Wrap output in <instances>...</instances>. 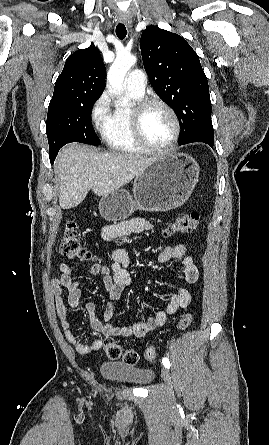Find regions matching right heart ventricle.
<instances>
[{
	"mask_svg": "<svg viewBox=\"0 0 269 445\" xmlns=\"http://www.w3.org/2000/svg\"><path fill=\"white\" fill-rule=\"evenodd\" d=\"M127 95L133 101H137L141 97L129 91H127ZM101 134L109 147L117 152L133 155L144 153L132 133L131 108H117L111 112L101 125Z\"/></svg>",
	"mask_w": 269,
	"mask_h": 445,
	"instance_id": "e07e8e85",
	"label": "right heart ventricle"
}]
</instances>
